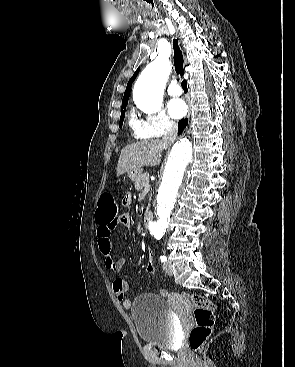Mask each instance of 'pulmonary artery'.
<instances>
[{
  "mask_svg": "<svg viewBox=\"0 0 295 367\" xmlns=\"http://www.w3.org/2000/svg\"><path fill=\"white\" fill-rule=\"evenodd\" d=\"M168 94L173 97L180 96L182 94L181 87L177 84L176 81H172L168 87Z\"/></svg>",
  "mask_w": 295,
  "mask_h": 367,
  "instance_id": "1",
  "label": "pulmonary artery"
}]
</instances>
